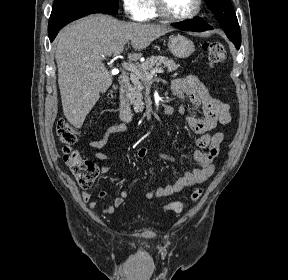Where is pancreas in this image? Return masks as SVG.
Masks as SVG:
<instances>
[{"instance_id":"pancreas-1","label":"pancreas","mask_w":288,"mask_h":280,"mask_svg":"<svg viewBox=\"0 0 288 280\" xmlns=\"http://www.w3.org/2000/svg\"><path fill=\"white\" fill-rule=\"evenodd\" d=\"M166 67L170 72L175 71L179 65H177L172 59H168L164 56H151L147 58L145 62L137 66L138 72L132 73L131 81L133 86L128 90V97L131 103L134 105V111L136 113L144 110L143 94L148 80L145 78L146 73L152 71L160 66Z\"/></svg>"}]
</instances>
